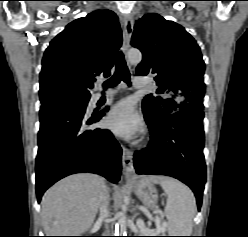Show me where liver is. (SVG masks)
I'll list each match as a JSON object with an SVG mask.
<instances>
[{
  "label": "liver",
  "mask_w": 248,
  "mask_h": 237,
  "mask_svg": "<svg viewBox=\"0 0 248 237\" xmlns=\"http://www.w3.org/2000/svg\"><path fill=\"white\" fill-rule=\"evenodd\" d=\"M154 183L164 177L150 176ZM103 179L96 174H75L48 189L41 201L46 236H75L94 223Z\"/></svg>",
  "instance_id": "obj_1"
}]
</instances>
